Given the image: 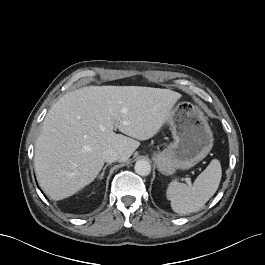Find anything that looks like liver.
Wrapping results in <instances>:
<instances>
[{
  "mask_svg": "<svg viewBox=\"0 0 265 265\" xmlns=\"http://www.w3.org/2000/svg\"><path fill=\"white\" fill-rule=\"evenodd\" d=\"M180 98L169 89L142 86H89L65 94L48 111L36 140L40 187L53 200L75 194L95 180L105 150L128 160L139 140L160 131Z\"/></svg>",
  "mask_w": 265,
  "mask_h": 265,
  "instance_id": "1",
  "label": "liver"
}]
</instances>
